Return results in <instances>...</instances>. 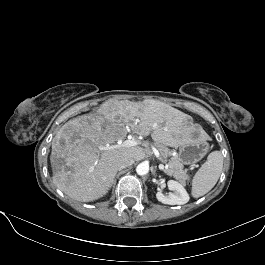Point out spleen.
I'll use <instances>...</instances> for the list:
<instances>
[{"instance_id":"obj_1","label":"spleen","mask_w":265,"mask_h":265,"mask_svg":"<svg viewBox=\"0 0 265 265\" xmlns=\"http://www.w3.org/2000/svg\"><path fill=\"white\" fill-rule=\"evenodd\" d=\"M222 168L223 156L221 152H211L192 179V196L199 198L208 193L216 185Z\"/></svg>"}]
</instances>
